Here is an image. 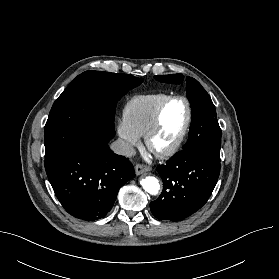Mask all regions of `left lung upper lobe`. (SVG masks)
<instances>
[{
    "instance_id": "obj_1",
    "label": "left lung upper lobe",
    "mask_w": 279,
    "mask_h": 279,
    "mask_svg": "<svg viewBox=\"0 0 279 279\" xmlns=\"http://www.w3.org/2000/svg\"><path fill=\"white\" fill-rule=\"evenodd\" d=\"M160 82L180 84L182 74L156 75ZM187 97L192 108L189 138L183 150H194L220 160L221 129L217 121L215 106L201 84L187 76Z\"/></svg>"
}]
</instances>
